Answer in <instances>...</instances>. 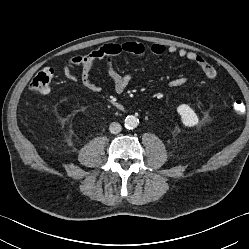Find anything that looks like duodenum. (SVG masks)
I'll use <instances>...</instances> for the list:
<instances>
[{"label":"duodenum","instance_id":"duodenum-1","mask_svg":"<svg viewBox=\"0 0 249 249\" xmlns=\"http://www.w3.org/2000/svg\"><path fill=\"white\" fill-rule=\"evenodd\" d=\"M118 109H123V106L120 103L114 102L113 103Z\"/></svg>","mask_w":249,"mask_h":249}]
</instances>
